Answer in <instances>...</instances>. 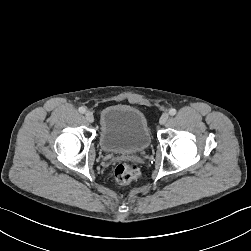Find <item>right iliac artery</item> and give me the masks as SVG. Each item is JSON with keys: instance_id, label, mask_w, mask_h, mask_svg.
<instances>
[{"instance_id": "right-iliac-artery-1", "label": "right iliac artery", "mask_w": 251, "mask_h": 251, "mask_svg": "<svg viewBox=\"0 0 251 251\" xmlns=\"http://www.w3.org/2000/svg\"><path fill=\"white\" fill-rule=\"evenodd\" d=\"M85 111H86L85 107H79V112L80 113H85Z\"/></svg>"}]
</instances>
